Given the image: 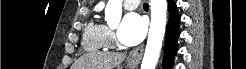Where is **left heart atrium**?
Here are the masks:
<instances>
[{
  "label": "left heart atrium",
  "mask_w": 246,
  "mask_h": 69,
  "mask_svg": "<svg viewBox=\"0 0 246 69\" xmlns=\"http://www.w3.org/2000/svg\"><path fill=\"white\" fill-rule=\"evenodd\" d=\"M146 32V21L138 13L131 12L124 16L122 24L117 32L119 41L127 46L140 43Z\"/></svg>",
  "instance_id": "left-heart-atrium-1"
}]
</instances>
